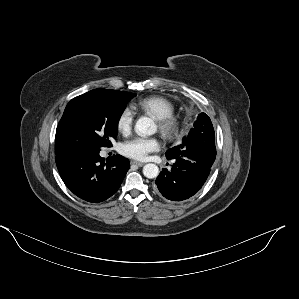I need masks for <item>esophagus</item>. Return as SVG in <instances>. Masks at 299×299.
Segmentation results:
<instances>
[{"label":"esophagus","mask_w":299,"mask_h":299,"mask_svg":"<svg viewBox=\"0 0 299 299\" xmlns=\"http://www.w3.org/2000/svg\"><path fill=\"white\" fill-rule=\"evenodd\" d=\"M131 164H132V165H137V166H139V167H142V166L144 165L143 162H138V161H131Z\"/></svg>","instance_id":"esophagus-1"}]
</instances>
